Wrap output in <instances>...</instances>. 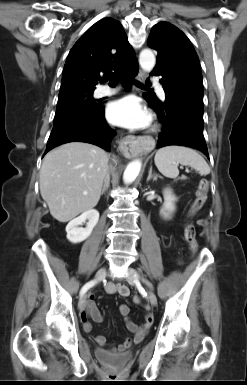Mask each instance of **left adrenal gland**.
<instances>
[{
	"label": "left adrenal gland",
	"mask_w": 247,
	"mask_h": 385,
	"mask_svg": "<svg viewBox=\"0 0 247 385\" xmlns=\"http://www.w3.org/2000/svg\"><path fill=\"white\" fill-rule=\"evenodd\" d=\"M150 179L157 180L156 175L152 174V166L150 167L149 174H148V177H147V181H149Z\"/></svg>",
	"instance_id": "a2214340"
}]
</instances>
